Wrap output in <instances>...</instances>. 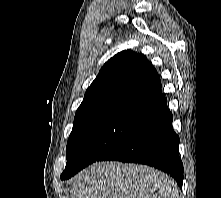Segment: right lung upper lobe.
I'll list each match as a JSON object with an SVG mask.
<instances>
[{
  "label": "right lung upper lobe",
  "mask_w": 221,
  "mask_h": 198,
  "mask_svg": "<svg viewBox=\"0 0 221 198\" xmlns=\"http://www.w3.org/2000/svg\"><path fill=\"white\" fill-rule=\"evenodd\" d=\"M166 103L158 73L147 58L122 51L104 64L87 89L72 130L104 118L143 121Z\"/></svg>",
  "instance_id": "1"
}]
</instances>
